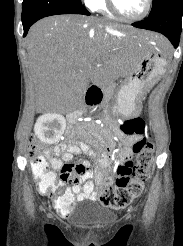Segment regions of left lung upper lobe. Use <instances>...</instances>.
Masks as SVG:
<instances>
[{
	"label": "left lung upper lobe",
	"mask_w": 183,
	"mask_h": 246,
	"mask_svg": "<svg viewBox=\"0 0 183 246\" xmlns=\"http://www.w3.org/2000/svg\"><path fill=\"white\" fill-rule=\"evenodd\" d=\"M169 0H153V5L150 14L154 13L155 11L159 10L166 2Z\"/></svg>",
	"instance_id": "obj_1"
}]
</instances>
